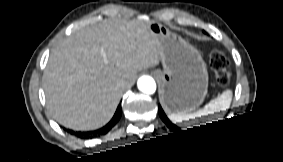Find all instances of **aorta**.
<instances>
[{"label":"aorta","instance_id":"762f6f07","mask_svg":"<svg viewBox=\"0 0 283 162\" xmlns=\"http://www.w3.org/2000/svg\"><path fill=\"white\" fill-rule=\"evenodd\" d=\"M138 89L144 93L152 94L156 90V83L150 76H141L137 81Z\"/></svg>","mask_w":283,"mask_h":162}]
</instances>
